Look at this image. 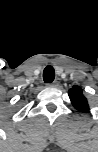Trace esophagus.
I'll return each mask as SVG.
<instances>
[{
    "label": "esophagus",
    "instance_id": "1",
    "mask_svg": "<svg viewBox=\"0 0 98 152\" xmlns=\"http://www.w3.org/2000/svg\"><path fill=\"white\" fill-rule=\"evenodd\" d=\"M58 84H59L58 81H54L53 83H47L46 86H47V87H57Z\"/></svg>",
    "mask_w": 98,
    "mask_h": 152
}]
</instances>
